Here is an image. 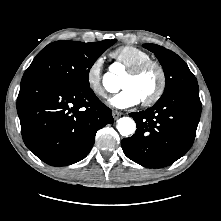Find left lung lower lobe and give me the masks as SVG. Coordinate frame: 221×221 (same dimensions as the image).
I'll use <instances>...</instances> for the list:
<instances>
[{
  "mask_svg": "<svg viewBox=\"0 0 221 221\" xmlns=\"http://www.w3.org/2000/svg\"><path fill=\"white\" fill-rule=\"evenodd\" d=\"M201 115L199 92L180 91L130 113L137 130L121 142L125 155L147 168L168 166L192 146Z\"/></svg>",
  "mask_w": 221,
  "mask_h": 221,
  "instance_id": "0a47b994",
  "label": "left lung lower lobe"
}]
</instances>
